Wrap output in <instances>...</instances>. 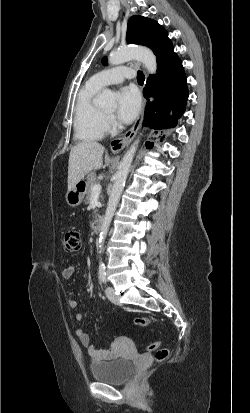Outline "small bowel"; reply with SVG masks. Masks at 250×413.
I'll return each instance as SVG.
<instances>
[{
	"label": "small bowel",
	"instance_id": "obj_1",
	"mask_svg": "<svg viewBox=\"0 0 250 413\" xmlns=\"http://www.w3.org/2000/svg\"><path fill=\"white\" fill-rule=\"evenodd\" d=\"M75 273V266L69 265L62 271V276L65 279H69ZM68 303L71 308H77L79 306V301L74 299V292L69 293ZM84 319L83 313L76 314V320L82 321ZM77 337L80 343L85 347L89 356L95 361L111 360L118 355V351L122 344V339L120 337H114L109 348L97 349L91 344V339L89 334L83 328H79L76 331Z\"/></svg>",
	"mask_w": 250,
	"mask_h": 413
}]
</instances>
